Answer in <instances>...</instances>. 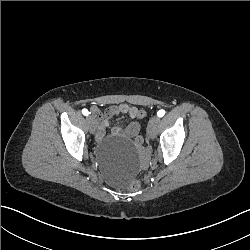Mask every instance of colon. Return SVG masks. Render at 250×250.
I'll list each match as a JSON object with an SVG mask.
<instances>
[{"label": "colon", "mask_w": 250, "mask_h": 250, "mask_svg": "<svg viewBox=\"0 0 250 250\" xmlns=\"http://www.w3.org/2000/svg\"><path fill=\"white\" fill-rule=\"evenodd\" d=\"M138 116L139 117H144L145 116V111L144 110H139L138 111ZM142 143H143V138L141 137V136H137L136 138H135V144L136 145H142ZM130 189L132 190V191H139L140 189H141V182L139 181V180H132L131 182H130Z\"/></svg>", "instance_id": "colon-1"}]
</instances>
